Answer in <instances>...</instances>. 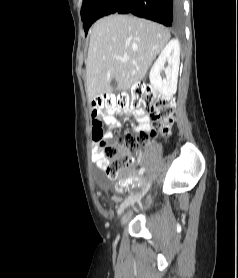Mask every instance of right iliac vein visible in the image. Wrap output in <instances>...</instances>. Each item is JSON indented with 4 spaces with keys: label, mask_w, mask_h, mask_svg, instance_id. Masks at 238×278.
Wrapping results in <instances>:
<instances>
[{
    "label": "right iliac vein",
    "mask_w": 238,
    "mask_h": 278,
    "mask_svg": "<svg viewBox=\"0 0 238 278\" xmlns=\"http://www.w3.org/2000/svg\"><path fill=\"white\" fill-rule=\"evenodd\" d=\"M153 184H155L154 177H151L149 181H147V186H143V192L142 195H147V192H149V189H152ZM135 202H141V199H139L138 195H135L134 193H131L130 196L125 200V202L121 206V222L125 219V211L133 206Z\"/></svg>",
    "instance_id": "right-iliac-vein-1"
}]
</instances>
